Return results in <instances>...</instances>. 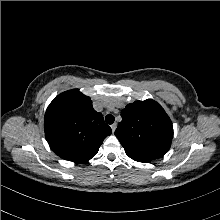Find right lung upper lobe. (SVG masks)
I'll return each mask as SVG.
<instances>
[{
    "instance_id": "right-lung-upper-lobe-1",
    "label": "right lung upper lobe",
    "mask_w": 220,
    "mask_h": 220,
    "mask_svg": "<svg viewBox=\"0 0 220 220\" xmlns=\"http://www.w3.org/2000/svg\"><path fill=\"white\" fill-rule=\"evenodd\" d=\"M46 140L62 159L84 163L94 157L103 140L112 133L90 97L78 89L59 94L44 117Z\"/></svg>"
}]
</instances>
